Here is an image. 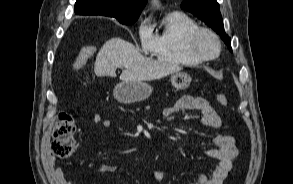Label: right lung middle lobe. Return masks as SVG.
Here are the masks:
<instances>
[{
    "label": "right lung middle lobe",
    "mask_w": 293,
    "mask_h": 184,
    "mask_svg": "<svg viewBox=\"0 0 293 184\" xmlns=\"http://www.w3.org/2000/svg\"><path fill=\"white\" fill-rule=\"evenodd\" d=\"M136 20H125V21H121L120 23L125 24V25H130L132 23H134Z\"/></svg>",
    "instance_id": "right-lung-middle-lobe-1"
}]
</instances>
